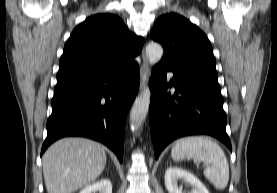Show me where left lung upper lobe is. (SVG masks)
Wrapping results in <instances>:
<instances>
[{
    "instance_id": "obj_1",
    "label": "left lung upper lobe",
    "mask_w": 277,
    "mask_h": 193,
    "mask_svg": "<svg viewBox=\"0 0 277 193\" xmlns=\"http://www.w3.org/2000/svg\"><path fill=\"white\" fill-rule=\"evenodd\" d=\"M151 38L164 48L159 65L180 74L217 76L211 43L188 19L176 13L162 15L155 22Z\"/></svg>"
}]
</instances>
